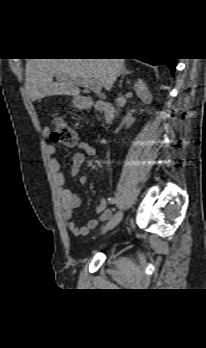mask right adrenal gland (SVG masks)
Masks as SVG:
<instances>
[{"instance_id": "obj_1", "label": "right adrenal gland", "mask_w": 206, "mask_h": 348, "mask_svg": "<svg viewBox=\"0 0 206 348\" xmlns=\"http://www.w3.org/2000/svg\"><path fill=\"white\" fill-rule=\"evenodd\" d=\"M121 73H122V77H121L120 84H119L120 88L122 87V82H123L124 76L131 74L132 71H129L126 67H124Z\"/></svg>"}]
</instances>
